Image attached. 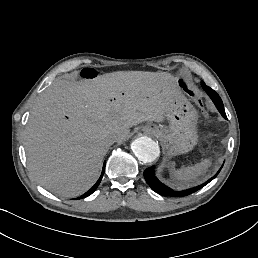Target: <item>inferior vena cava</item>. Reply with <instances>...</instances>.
Segmentation results:
<instances>
[{"mask_svg":"<svg viewBox=\"0 0 258 258\" xmlns=\"http://www.w3.org/2000/svg\"><path fill=\"white\" fill-rule=\"evenodd\" d=\"M105 141L108 145H112L116 141H118L117 135L114 133H110L105 137Z\"/></svg>","mask_w":258,"mask_h":258,"instance_id":"602c4592","label":"inferior vena cava"}]
</instances>
